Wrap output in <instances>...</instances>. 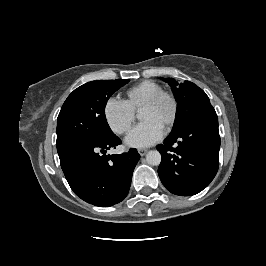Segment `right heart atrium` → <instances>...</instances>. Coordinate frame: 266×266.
I'll return each mask as SVG.
<instances>
[{
  "instance_id": "right-heart-atrium-1",
  "label": "right heart atrium",
  "mask_w": 266,
  "mask_h": 266,
  "mask_svg": "<svg viewBox=\"0 0 266 266\" xmlns=\"http://www.w3.org/2000/svg\"><path fill=\"white\" fill-rule=\"evenodd\" d=\"M104 116L115 133L124 134L134 122L135 110L127 101L111 97L106 101Z\"/></svg>"
}]
</instances>
